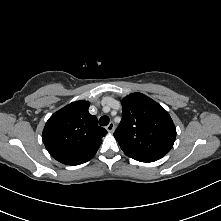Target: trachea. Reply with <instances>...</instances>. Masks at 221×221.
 <instances>
[{"mask_svg":"<svg viewBox=\"0 0 221 221\" xmlns=\"http://www.w3.org/2000/svg\"><path fill=\"white\" fill-rule=\"evenodd\" d=\"M99 124L101 126H107L109 124V117L108 116H102L100 119H99Z\"/></svg>","mask_w":221,"mask_h":221,"instance_id":"obj_1","label":"trachea"}]
</instances>
